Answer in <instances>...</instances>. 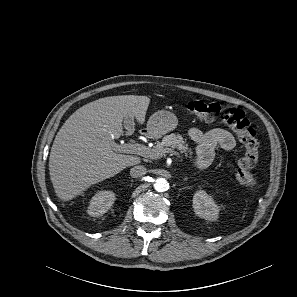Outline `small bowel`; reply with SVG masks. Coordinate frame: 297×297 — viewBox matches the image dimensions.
Instances as JSON below:
<instances>
[{
    "instance_id": "small-bowel-1",
    "label": "small bowel",
    "mask_w": 297,
    "mask_h": 297,
    "mask_svg": "<svg viewBox=\"0 0 297 297\" xmlns=\"http://www.w3.org/2000/svg\"><path fill=\"white\" fill-rule=\"evenodd\" d=\"M188 136L197 144L195 164L200 168L207 167L214 161L217 146L226 151L232 150L235 146L233 135L223 128L203 132L194 127L189 129Z\"/></svg>"
}]
</instances>
